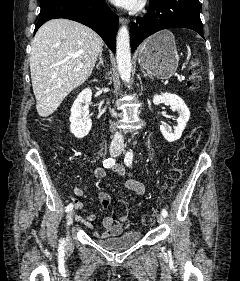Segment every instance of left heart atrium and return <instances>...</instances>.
Listing matches in <instances>:
<instances>
[{
  "label": "left heart atrium",
  "instance_id": "39dd6f15",
  "mask_svg": "<svg viewBox=\"0 0 240 281\" xmlns=\"http://www.w3.org/2000/svg\"><path fill=\"white\" fill-rule=\"evenodd\" d=\"M115 5L126 9H137L141 6L143 0H110Z\"/></svg>",
  "mask_w": 240,
  "mask_h": 281
}]
</instances>
